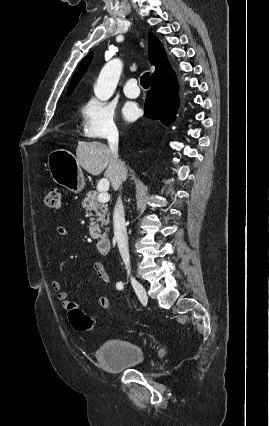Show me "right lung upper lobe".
<instances>
[{
  "label": "right lung upper lobe",
  "instance_id": "obj_1",
  "mask_svg": "<svg viewBox=\"0 0 269 426\" xmlns=\"http://www.w3.org/2000/svg\"><path fill=\"white\" fill-rule=\"evenodd\" d=\"M148 56H149L150 63L154 65L156 68L155 72L151 76V81L171 70L161 42L151 32L149 33V36H148ZM92 57H93V53L91 52L82 60L80 66L78 67V69L76 70V72L74 73L71 79V82L69 84V88L67 91V95H70L73 92L77 83L86 72L92 60Z\"/></svg>",
  "mask_w": 269,
  "mask_h": 426
}]
</instances>
